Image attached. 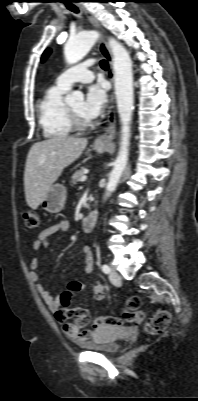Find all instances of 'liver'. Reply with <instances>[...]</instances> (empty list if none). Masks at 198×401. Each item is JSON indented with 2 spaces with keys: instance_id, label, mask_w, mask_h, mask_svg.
Wrapping results in <instances>:
<instances>
[{
  "instance_id": "6515ba94",
  "label": "liver",
  "mask_w": 198,
  "mask_h": 401,
  "mask_svg": "<svg viewBox=\"0 0 198 401\" xmlns=\"http://www.w3.org/2000/svg\"><path fill=\"white\" fill-rule=\"evenodd\" d=\"M87 142L86 138L52 137L32 145L24 171L26 202L32 209L38 208L62 171L82 154Z\"/></svg>"
}]
</instances>
